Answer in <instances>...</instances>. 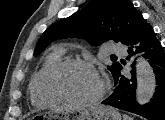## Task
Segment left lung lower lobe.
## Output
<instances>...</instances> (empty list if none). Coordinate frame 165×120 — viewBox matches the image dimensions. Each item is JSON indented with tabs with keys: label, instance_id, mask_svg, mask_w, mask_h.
<instances>
[{
	"label": "left lung lower lobe",
	"instance_id": "0a47b994",
	"mask_svg": "<svg viewBox=\"0 0 165 120\" xmlns=\"http://www.w3.org/2000/svg\"><path fill=\"white\" fill-rule=\"evenodd\" d=\"M125 45L128 46L129 56L136 53H143L148 59L156 75V90L151 101L145 105H139L135 99L136 76L131 70V76L125 77L121 74L120 64L116 88L114 92L105 99L102 104L130 111L145 117L148 120H165V53L161 43L156 37L153 28L142 17L138 26L131 34ZM125 65V62H122ZM135 62L131 65L134 66Z\"/></svg>",
	"mask_w": 165,
	"mask_h": 120
}]
</instances>
